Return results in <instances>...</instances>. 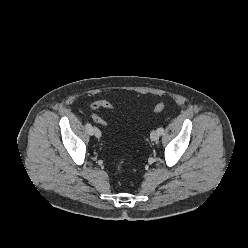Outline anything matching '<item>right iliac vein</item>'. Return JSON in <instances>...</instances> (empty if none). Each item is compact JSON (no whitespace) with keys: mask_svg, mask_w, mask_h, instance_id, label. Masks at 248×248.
I'll return each mask as SVG.
<instances>
[{"mask_svg":"<svg viewBox=\"0 0 248 248\" xmlns=\"http://www.w3.org/2000/svg\"><path fill=\"white\" fill-rule=\"evenodd\" d=\"M92 134H93L95 137H97V138H100V137H101V132H100V130H99L97 127H93Z\"/></svg>","mask_w":248,"mask_h":248,"instance_id":"obj_1","label":"right iliac vein"}]
</instances>
